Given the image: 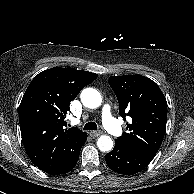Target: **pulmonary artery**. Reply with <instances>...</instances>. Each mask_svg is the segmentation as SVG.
I'll return each instance as SVG.
<instances>
[{
	"mask_svg": "<svg viewBox=\"0 0 194 194\" xmlns=\"http://www.w3.org/2000/svg\"><path fill=\"white\" fill-rule=\"evenodd\" d=\"M102 123L106 130L115 136H120L123 133L122 127L112 116L111 107L107 104L102 108Z\"/></svg>",
	"mask_w": 194,
	"mask_h": 194,
	"instance_id": "obj_1",
	"label": "pulmonary artery"
}]
</instances>
